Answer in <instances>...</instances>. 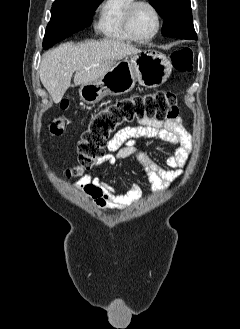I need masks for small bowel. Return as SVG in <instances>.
I'll return each mask as SVG.
<instances>
[{"mask_svg":"<svg viewBox=\"0 0 240 329\" xmlns=\"http://www.w3.org/2000/svg\"><path fill=\"white\" fill-rule=\"evenodd\" d=\"M155 141L172 147L166 158V167L159 164L149 153L139 147L137 140ZM192 137L183 117L166 121L142 120L133 126L119 130L108 142V152L101 156L99 165H114L122 159H133L151 183L152 192L157 194L167 189L181 175L191 149ZM72 188L90 197L96 207L124 209L140 196L139 185L132 184L123 194L116 193L99 177L88 174L72 185Z\"/></svg>","mask_w":240,"mask_h":329,"instance_id":"obj_1","label":"small bowel"}]
</instances>
